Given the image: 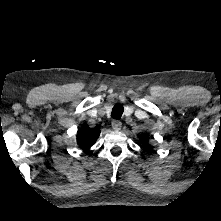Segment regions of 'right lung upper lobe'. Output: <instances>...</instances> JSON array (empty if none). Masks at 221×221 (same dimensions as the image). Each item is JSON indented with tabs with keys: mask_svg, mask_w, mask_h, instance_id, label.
Segmentation results:
<instances>
[{
	"mask_svg": "<svg viewBox=\"0 0 221 221\" xmlns=\"http://www.w3.org/2000/svg\"><path fill=\"white\" fill-rule=\"evenodd\" d=\"M100 134V129H91L88 126H83L77 134V143L84 150H88L97 140Z\"/></svg>",
	"mask_w": 221,
	"mask_h": 221,
	"instance_id": "cb5924a9",
	"label": "right lung upper lobe"
}]
</instances>
